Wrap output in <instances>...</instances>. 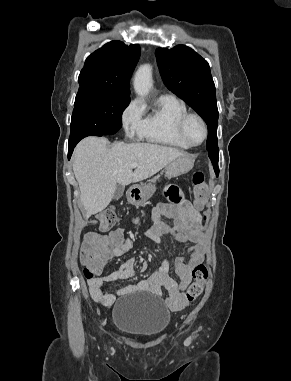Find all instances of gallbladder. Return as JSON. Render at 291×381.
I'll return each instance as SVG.
<instances>
[{
    "label": "gallbladder",
    "instance_id": "bac80fb5",
    "mask_svg": "<svg viewBox=\"0 0 291 381\" xmlns=\"http://www.w3.org/2000/svg\"><path fill=\"white\" fill-rule=\"evenodd\" d=\"M124 189L125 187L123 185L118 184L114 193V199H119L120 197H122Z\"/></svg>",
    "mask_w": 291,
    "mask_h": 381
}]
</instances>
